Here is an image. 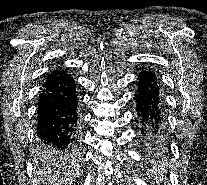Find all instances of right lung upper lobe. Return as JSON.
Returning <instances> with one entry per match:
<instances>
[{"instance_id": "right-lung-upper-lobe-1", "label": "right lung upper lobe", "mask_w": 207, "mask_h": 185, "mask_svg": "<svg viewBox=\"0 0 207 185\" xmlns=\"http://www.w3.org/2000/svg\"><path fill=\"white\" fill-rule=\"evenodd\" d=\"M64 74H65V71L55 70L51 74H49L47 79L54 78V77H57V76H61V75H64Z\"/></svg>"}]
</instances>
